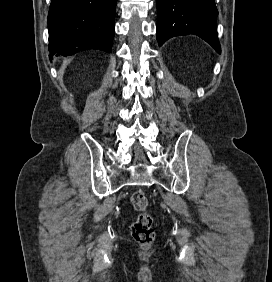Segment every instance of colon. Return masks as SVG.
I'll list each match as a JSON object with an SVG mask.
<instances>
[{"mask_svg":"<svg viewBox=\"0 0 272 282\" xmlns=\"http://www.w3.org/2000/svg\"><path fill=\"white\" fill-rule=\"evenodd\" d=\"M130 201L134 209L138 212L137 219L131 226L132 236L141 246L148 247L155 238L153 217L148 211V198L145 192L139 189L131 195Z\"/></svg>","mask_w":272,"mask_h":282,"instance_id":"1","label":"colon"}]
</instances>
